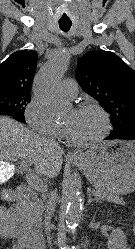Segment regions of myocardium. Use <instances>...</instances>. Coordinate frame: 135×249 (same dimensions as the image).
I'll use <instances>...</instances> for the list:
<instances>
[{
	"mask_svg": "<svg viewBox=\"0 0 135 249\" xmlns=\"http://www.w3.org/2000/svg\"><path fill=\"white\" fill-rule=\"evenodd\" d=\"M84 109H94V110L98 111L103 118L104 128H103V131L94 139L81 142V141L75 140L69 134L68 129L65 127L64 129H65V135H66L67 140L72 145H74L76 147H80V148H88V147L94 146L97 143L101 142L102 140H104L108 136L110 129H111L110 116H109L108 112L101 105H99L98 103H95V102L86 101V102H82V103L78 104L74 108V110H76V111H81Z\"/></svg>",
	"mask_w": 135,
	"mask_h": 249,
	"instance_id": "f54148a6",
	"label": "myocardium"
}]
</instances>
